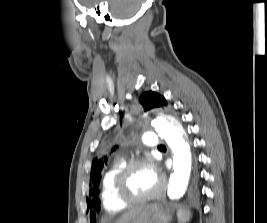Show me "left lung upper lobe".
<instances>
[{
    "instance_id": "1",
    "label": "left lung upper lobe",
    "mask_w": 267,
    "mask_h": 223,
    "mask_svg": "<svg viewBox=\"0 0 267 223\" xmlns=\"http://www.w3.org/2000/svg\"><path fill=\"white\" fill-rule=\"evenodd\" d=\"M139 102L142 104L144 111L168 106L166 99L153 91L143 93L139 98ZM113 149L115 150L116 147ZM106 164L107 157L93 159L92 172L90 175L91 190L89 198H87V214H106V209H103L102 203H100L98 199L101 173Z\"/></svg>"
}]
</instances>
